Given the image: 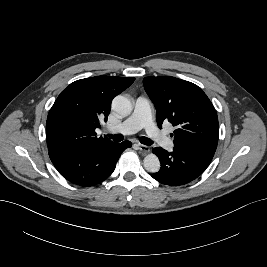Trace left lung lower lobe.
Listing matches in <instances>:
<instances>
[{
    "mask_svg": "<svg viewBox=\"0 0 267 267\" xmlns=\"http://www.w3.org/2000/svg\"><path fill=\"white\" fill-rule=\"evenodd\" d=\"M153 153L159 157L161 168L152 177L170 186L185 185L193 181L205 171L213 158L200 151L175 147L170 153L156 147Z\"/></svg>",
    "mask_w": 267,
    "mask_h": 267,
    "instance_id": "1",
    "label": "left lung lower lobe"
}]
</instances>
